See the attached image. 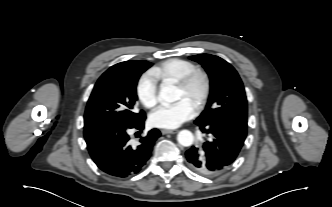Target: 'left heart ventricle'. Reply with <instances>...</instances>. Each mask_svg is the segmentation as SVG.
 <instances>
[{"instance_id": "b2bd125f", "label": "left heart ventricle", "mask_w": 332, "mask_h": 207, "mask_svg": "<svg viewBox=\"0 0 332 207\" xmlns=\"http://www.w3.org/2000/svg\"><path fill=\"white\" fill-rule=\"evenodd\" d=\"M176 99L177 100L186 99L193 104V99L191 97H188L178 86H177Z\"/></svg>"}]
</instances>
